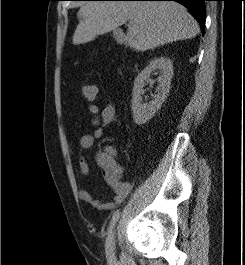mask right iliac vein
Listing matches in <instances>:
<instances>
[{"label": "right iliac vein", "instance_id": "obj_1", "mask_svg": "<svg viewBox=\"0 0 245 265\" xmlns=\"http://www.w3.org/2000/svg\"><path fill=\"white\" fill-rule=\"evenodd\" d=\"M115 238H116V228L114 226L111 229L110 233L108 234L105 244L106 257L109 261L115 260Z\"/></svg>", "mask_w": 245, "mask_h": 265}]
</instances>
